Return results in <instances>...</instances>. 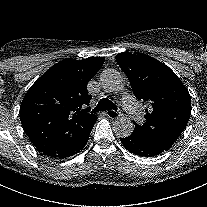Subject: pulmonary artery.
Listing matches in <instances>:
<instances>
[{"label": "pulmonary artery", "instance_id": "obj_1", "mask_svg": "<svg viewBox=\"0 0 207 207\" xmlns=\"http://www.w3.org/2000/svg\"><path fill=\"white\" fill-rule=\"evenodd\" d=\"M121 105L128 113V116L133 121H138L142 117V111L137 102L131 96H125L121 100Z\"/></svg>", "mask_w": 207, "mask_h": 207}]
</instances>
